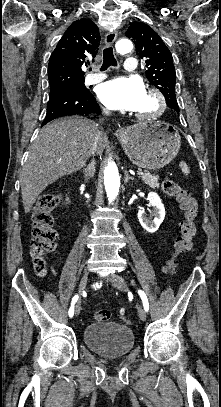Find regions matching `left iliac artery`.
Returning a JSON list of instances; mask_svg holds the SVG:
<instances>
[{
	"label": "left iliac artery",
	"mask_w": 221,
	"mask_h": 407,
	"mask_svg": "<svg viewBox=\"0 0 221 407\" xmlns=\"http://www.w3.org/2000/svg\"><path fill=\"white\" fill-rule=\"evenodd\" d=\"M138 294L140 295V298L142 300L144 310L147 312L149 310L148 299H147L145 293L142 290H138Z\"/></svg>",
	"instance_id": "obj_1"
}]
</instances>
